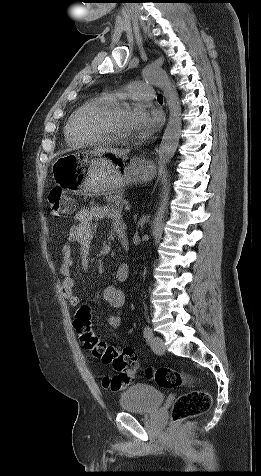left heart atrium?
<instances>
[{"label":"left heart atrium","instance_id":"39dd6f15","mask_svg":"<svg viewBox=\"0 0 261 476\" xmlns=\"http://www.w3.org/2000/svg\"><path fill=\"white\" fill-rule=\"evenodd\" d=\"M128 121L131 133L140 138H145L159 127L161 117L157 112H150L144 106L137 105L130 109Z\"/></svg>","mask_w":261,"mask_h":476}]
</instances>
